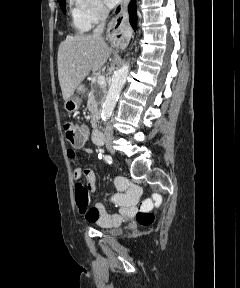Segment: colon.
Returning a JSON list of instances; mask_svg holds the SVG:
<instances>
[{
	"label": "colon",
	"mask_w": 240,
	"mask_h": 288,
	"mask_svg": "<svg viewBox=\"0 0 240 288\" xmlns=\"http://www.w3.org/2000/svg\"><path fill=\"white\" fill-rule=\"evenodd\" d=\"M63 131L66 139L72 144L76 145L82 143L86 139V133L83 126L76 125L72 122H65L63 124ZM136 221L141 226H148L154 221L153 214L149 212L139 211L136 214Z\"/></svg>",
	"instance_id": "1"
}]
</instances>
